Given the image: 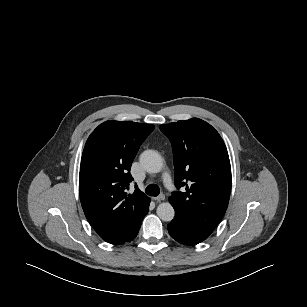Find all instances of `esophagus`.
Instances as JSON below:
<instances>
[{
  "label": "esophagus",
  "instance_id": "esophagus-1",
  "mask_svg": "<svg viewBox=\"0 0 307 307\" xmlns=\"http://www.w3.org/2000/svg\"><path fill=\"white\" fill-rule=\"evenodd\" d=\"M152 199H153L154 201H156V202H161V201L165 200V195H164V194H161V195H159V196H157V197H153Z\"/></svg>",
  "mask_w": 307,
  "mask_h": 307
}]
</instances>
